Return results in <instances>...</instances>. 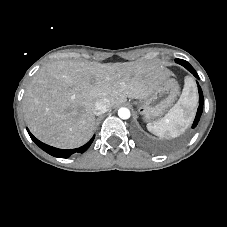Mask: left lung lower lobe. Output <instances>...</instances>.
<instances>
[{
  "label": "left lung lower lobe",
  "mask_w": 227,
  "mask_h": 227,
  "mask_svg": "<svg viewBox=\"0 0 227 227\" xmlns=\"http://www.w3.org/2000/svg\"><path fill=\"white\" fill-rule=\"evenodd\" d=\"M175 61L177 63H179L180 65L184 66L197 79H199L197 72L194 70V68L187 61L181 60V59H176ZM198 91H199V107H198L197 114H196L195 120L193 122L192 128H195L197 126V124L200 120V116H201L202 111H203V94H202V90H201L199 85H198Z\"/></svg>",
  "instance_id": "obj_1"
}]
</instances>
